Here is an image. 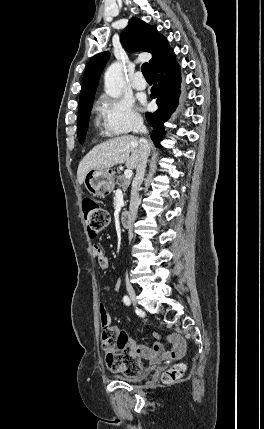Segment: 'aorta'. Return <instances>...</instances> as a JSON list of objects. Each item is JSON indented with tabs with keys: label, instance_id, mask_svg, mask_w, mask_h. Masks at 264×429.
Segmentation results:
<instances>
[{
	"label": "aorta",
	"instance_id": "762f6f07",
	"mask_svg": "<svg viewBox=\"0 0 264 429\" xmlns=\"http://www.w3.org/2000/svg\"><path fill=\"white\" fill-rule=\"evenodd\" d=\"M104 82L106 94L113 98L119 97L124 86L122 64L119 62L111 64L105 72Z\"/></svg>",
	"mask_w": 264,
	"mask_h": 429
}]
</instances>
